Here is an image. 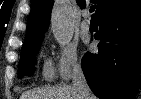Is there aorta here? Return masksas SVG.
I'll list each match as a JSON object with an SVG mask.
<instances>
[{"label": "aorta", "instance_id": "762f6f07", "mask_svg": "<svg viewBox=\"0 0 141 99\" xmlns=\"http://www.w3.org/2000/svg\"><path fill=\"white\" fill-rule=\"evenodd\" d=\"M51 28L57 42L65 44L71 41L74 33L72 8L67 1L57 0L51 15Z\"/></svg>", "mask_w": 141, "mask_h": 99}]
</instances>
